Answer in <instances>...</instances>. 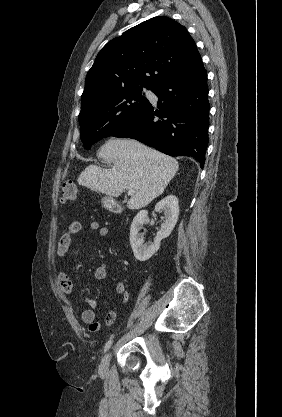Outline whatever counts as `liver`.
Instances as JSON below:
<instances>
[{"mask_svg":"<svg viewBox=\"0 0 282 417\" xmlns=\"http://www.w3.org/2000/svg\"><path fill=\"white\" fill-rule=\"evenodd\" d=\"M100 154L114 166L102 168L89 164L79 174L77 182L109 196H120L125 188L133 190L127 202L132 211L142 209L162 194L179 168L176 158L131 138H110L103 144Z\"/></svg>","mask_w":282,"mask_h":417,"instance_id":"liver-1","label":"liver"}]
</instances>
